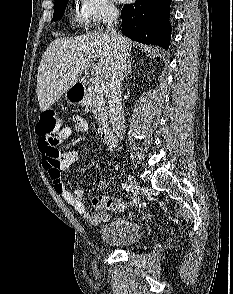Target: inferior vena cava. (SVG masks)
I'll use <instances>...</instances> for the list:
<instances>
[{"instance_id":"1","label":"inferior vena cava","mask_w":233,"mask_h":294,"mask_svg":"<svg viewBox=\"0 0 233 294\" xmlns=\"http://www.w3.org/2000/svg\"><path fill=\"white\" fill-rule=\"evenodd\" d=\"M119 12L117 9H111L106 20L107 32L115 45L116 52L109 76V119L116 136L122 140L125 132V117L121 104V83L127 69V56L123 52L121 36L114 29V23L117 21Z\"/></svg>"}]
</instances>
